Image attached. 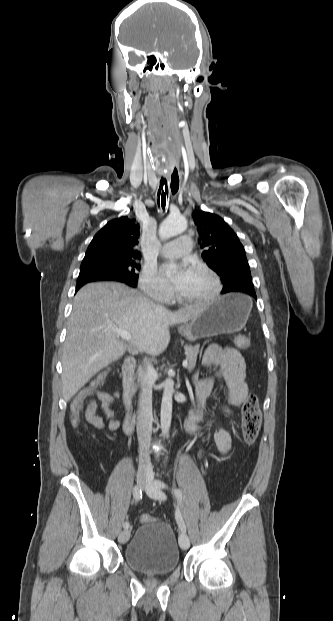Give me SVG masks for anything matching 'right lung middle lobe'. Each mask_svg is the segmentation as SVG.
Here are the masks:
<instances>
[{"mask_svg":"<svg viewBox=\"0 0 333 621\" xmlns=\"http://www.w3.org/2000/svg\"><path fill=\"white\" fill-rule=\"evenodd\" d=\"M138 258H100L83 260L77 281H119L131 286H136L138 281L137 271L140 265L136 263Z\"/></svg>","mask_w":333,"mask_h":621,"instance_id":"1","label":"right lung middle lobe"}]
</instances>
